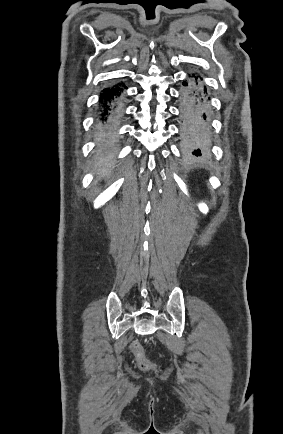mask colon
Listing matches in <instances>:
<instances>
[{"label":"colon","instance_id":"obj_1","mask_svg":"<svg viewBox=\"0 0 283 434\" xmlns=\"http://www.w3.org/2000/svg\"><path fill=\"white\" fill-rule=\"evenodd\" d=\"M131 351L135 355V357L137 358L140 369L149 370V369L154 367L153 364H151L149 361H147L145 359L143 351H142V347L139 343L134 342L131 345Z\"/></svg>","mask_w":283,"mask_h":434}]
</instances>
